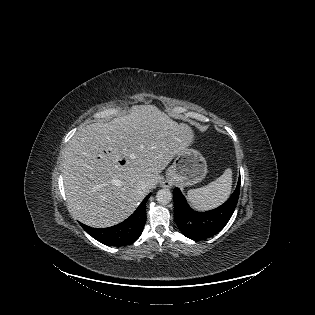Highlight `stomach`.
I'll return each instance as SVG.
<instances>
[{"label":"stomach","mask_w":315,"mask_h":315,"mask_svg":"<svg viewBox=\"0 0 315 315\" xmlns=\"http://www.w3.org/2000/svg\"><path fill=\"white\" fill-rule=\"evenodd\" d=\"M207 173V163L202 154L187 148L178 154L173 164L168 168L166 179L182 186H191L201 182Z\"/></svg>","instance_id":"0dacf381"}]
</instances>
